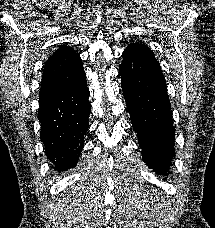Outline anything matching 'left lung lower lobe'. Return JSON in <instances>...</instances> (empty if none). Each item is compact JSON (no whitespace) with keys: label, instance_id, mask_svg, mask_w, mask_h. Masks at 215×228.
<instances>
[{"label":"left lung lower lobe","instance_id":"0a47b994","mask_svg":"<svg viewBox=\"0 0 215 228\" xmlns=\"http://www.w3.org/2000/svg\"><path fill=\"white\" fill-rule=\"evenodd\" d=\"M122 56V90L143 160L166 175L175 154V129L161 67L152 52L124 50Z\"/></svg>","mask_w":215,"mask_h":228}]
</instances>
